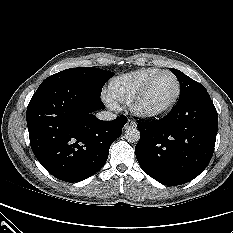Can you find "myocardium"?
Wrapping results in <instances>:
<instances>
[{
	"label": "myocardium",
	"mask_w": 233,
	"mask_h": 233,
	"mask_svg": "<svg viewBox=\"0 0 233 233\" xmlns=\"http://www.w3.org/2000/svg\"><path fill=\"white\" fill-rule=\"evenodd\" d=\"M163 74L171 75L176 82V92H175L173 98L165 106H163L159 109H146V108L142 107L141 102H142L144 96L146 95L148 89L150 88L151 84L154 82V80L157 77H159L160 75H163ZM180 94H181V82H180L179 78L177 77V75L170 70H161V71L157 72L156 74H154L153 76H151L143 84V86L139 89V91L134 95L132 100L129 102V107H130V110L136 116H139L142 118H148V119L159 118V117L166 115L168 112H170L173 109V107L176 105V103L180 97Z\"/></svg>",
	"instance_id": "obj_1"
}]
</instances>
